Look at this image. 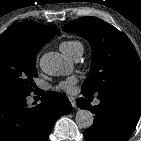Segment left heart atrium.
<instances>
[{"mask_svg": "<svg viewBox=\"0 0 141 141\" xmlns=\"http://www.w3.org/2000/svg\"><path fill=\"white\" fill-rule=\"evenodd\" d=\"M76 81H77L76 78L70 77V78L60 82L57 85L56 89L64 91L66 93H72L74 90V85L76 84Z\"/></svg>", "mask_w": 141, "mask_h": 141, "instance_id": "1", "label": "left heart atrium"}]
</instances>
